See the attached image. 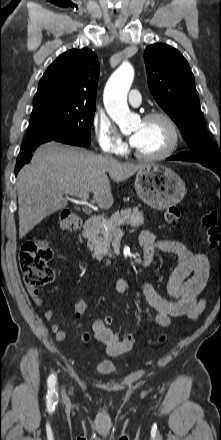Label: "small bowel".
<instances>
[{
	"instance_id": "small-bowel-1",
	"label": "small bowel",
	"mask_w": 221,
	"mask_h": 440,
	"mask_svg": "<svg viewBox=\"0 0 221 440\" xmlns=\"http://www.w3.org/2000/svg\"><path fill=\"white\" fill-rule=\"evenodd\" d=\"M139 244L143 248V263H149L156 252L170 253L177 256L179 263L173 270L167 283L168 298L160 295L149 283L137 281L132 284L124 278L116 281V291L125 295L134 287L153 309V323L160 328H168L172 317L187 316L191 320H197L203 312L206 302L198 298L205 288L210 272V264L206 255L194 253L185 245L174 240H157L147 230L140 233ZM27 292L33 304L37 307L44 305L36 288L26 286ZM46 320H51L53 311L48 309L43 313ZM51 330L56 340L63 342L67 338V332L61 329L59 324L53 323ZM94 338L105 345L106 352L111 356L121 355L131 350L137 343L140 331H132L125 336L113 332L107 328L103 318L93 323Z\"/></svg>"
}]
</instances>
